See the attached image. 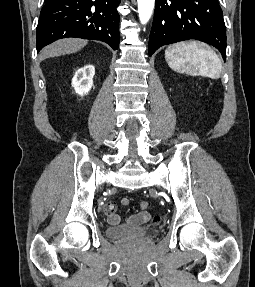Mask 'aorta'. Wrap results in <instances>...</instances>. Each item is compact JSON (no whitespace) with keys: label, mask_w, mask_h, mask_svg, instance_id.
<instances>
[{"label":"aorta","mask_w":255,"mask_h":287,"mask_svg":"<svg viewBox=\"0 0 255 287\" xmlns=\"http://www.w3.org/2000/svg\"><path fill=\"white\" fill-rule=\"evenodd\" d=\"M154 2L155 0H137L139 19L142 24L149 21L153 12Z\"/></svg>","instance_id":"1"}]
</instances>
